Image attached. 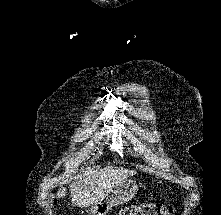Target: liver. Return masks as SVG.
I'll list each match as a JSON object with an SVG mask.
<instances>
[{"label":"liver","instance_id":"liver-1","mask_svg":"<svg viewBox=\"0 0 221 215\" xmlns=\"http://www.w3.org/2000/svg\"><path fill=\"white\" fill-rule=\"evenodd\" d=\"M133 170L108 166L99 172H90L70 186L72 203L80 208L99 203L119 182L133 176ZM66 195V188H60L57 197Z\"/></svg>","mask_w":221,"mask_h":215}]
</instances>
